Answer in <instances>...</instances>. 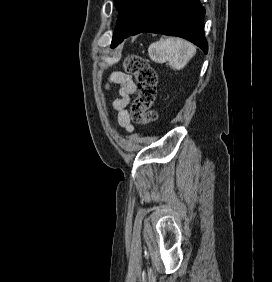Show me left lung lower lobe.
Segmentation results:
<instances>
[{
  "label": "left lung lower lobe",
  "instance_id": "0a47b994",
  "mask_svg": "<svg viewBox=\"0 0 272 282\" xmlns=\"http://www.w3.org/2000/svg\"><path fill=\"white\" fill-rule=\"evenodd\" d=\"M118 11L112 48L130 35L152 32L185 38L208 51L199 0H125Z\"/></svg>",
  "mask_w": 272,
  "mask_h": 282
}]
</instances>
